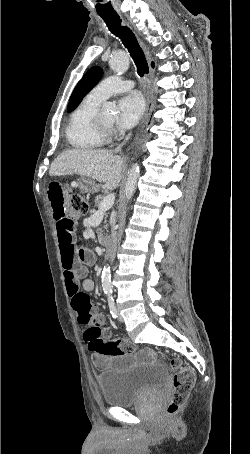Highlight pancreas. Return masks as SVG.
<instances>
[{"label":"pancreas","instance_id":"cf45deb5","mask_svg":"<svg viewBox=\"0 0 250 454\" xmlns=\"http://www.w3.org/2000/svg\"><path fill=\"white\" fill-rule=\"evenodd\" d=\"M103 198H104V196H102V195L97 196L96 199H95V206H99L100 203H101V201L103 200ZM104 224H105V225H104V228L106 229V228H107L106 217H105ZM102 232H103V231H102Z\"/></svg>","mask_w":250,"mask_h":454}]
</instances>
